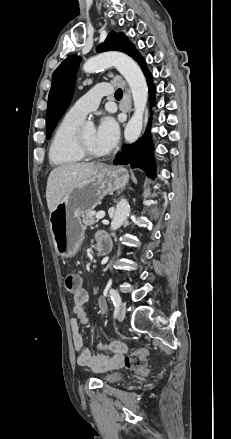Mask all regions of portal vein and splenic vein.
<instances>
[{"instance_id": "1", "label": "portal vein and splenic vein", "mask_w": 231, "mask_h": 439, "mask_svg": "<svg viewBox=\"0 0 231 439\" xmlns=\"http://www.w3.org/2000/svg\"><path fill=\"white\" fill-rule=\"evenodd\" d=\"M104 216H105V212H104V211L98 212V213L96 214V218H97V219H103Z\"/></svg>"}]
</instances>
